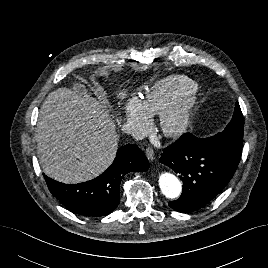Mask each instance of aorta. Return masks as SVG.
Wrapping results in <instances>:
<instances>
[{
	"mask_svg": "<svg viewBox=\"0 0 268 268\" xmlns=\"http://www.w3.org/2000/svg\"><path fill=\"white\" fill-rule=\"evenodd\" d=\"M159 186L163 195L169 199L179 197L182 191V185L179 179L169 172L161 173L159 177Z\"/></svg>",
	"mask_w": 268,
	"mask_h": 268,
	"instance_id": "obj_1",
	"label": "aorta"
}]
</instances>
